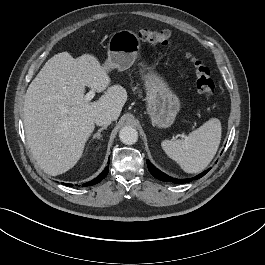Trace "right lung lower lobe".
I'll return each instance as SVG.
<instances>
[{"mask_svg": "<svg viewBox=\"0 0 265 265\" xmlns=\"http://www.w3.org/2000/svg\"><path fill=\"white\" fill-rule=\"evenodd\" d=\"M109 163V162H108ZM108 170H109V166H106V168L103 170V172L101 174H99L95 179H93L92 181H89L87 183H84L82 186L86 187V186H92L95 185L97 183H99L102 179H104L106 177V175L108 174ZM68 186H73L72 184H66Z\"/></svg>", "mask_w": 265, "mask_h": 265, "instance_id": "obj_1", "label": "right lung lower lobe"}]
</instances>
